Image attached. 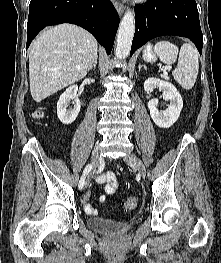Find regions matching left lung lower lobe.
Instances as JSON below:
<instances>
[{
	"mask_svg": "<svg viewBox=\"0 0 221 263\" xmlns=\"http://www.w3.org/2000/svg\"><path fill=\"white\" fill-rule=\"evenodd\" d=\"M136 30L130 56L151 39L162 35L189 38L200 54L203 34L195 0H150L135 6Z\"/></svg>",
	"mask_w": 221,
	"mask_h": 263,
	"instance_id": "1",
	"label": "left lung lower lobe"
}]
</instances>
